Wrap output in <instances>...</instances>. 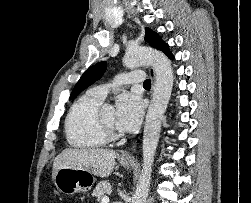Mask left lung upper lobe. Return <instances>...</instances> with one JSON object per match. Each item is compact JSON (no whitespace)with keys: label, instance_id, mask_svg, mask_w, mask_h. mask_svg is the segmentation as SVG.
Masks as SVG:
<instances>
[{"label":"left lung upper lobe","instance_id":"5c2ea615","mask_svg":"<svg viewBox=\"0 0 251 203\" xmlns=\"http://www.w3.org/2000/svg\"><path fill=\"white\" fill-rule=\"evenodd\" d=\"M145 39L150 44V46L158 50H163L167 46V44L163 42L160 36L149 28H146ZM106 67V62H100L87 69L75 85L69 99H73L81 91L93 84L96 80L100 79L104 74Z\"/></svg>","mask_w":251,"mask_h":203}]
</instances>
